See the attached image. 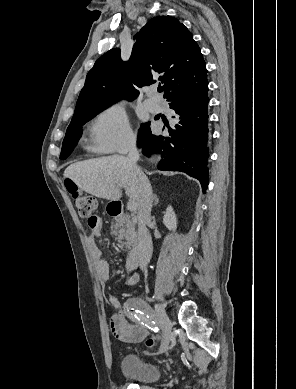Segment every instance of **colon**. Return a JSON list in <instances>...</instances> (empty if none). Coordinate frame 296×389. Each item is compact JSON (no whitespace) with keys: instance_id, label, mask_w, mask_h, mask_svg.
<instances>
[{"instance_id":"5ec220e1","label":"colon","mask_w":296,"mask_h":389,"mask_svg":"<svg viewBox=\"0 0 296 389\" xmlns=\"http://www.w3.org/2000/svg\"><path fill=\"white\" fill-rule=\"evenodd\" d=\"M67 189L71 194L74 204L78 210V213L81 217L86 218L88 220L89 225H94L96 223L97 216L94 214V211L97 207L96 200L82 191L78 190L75 184L71 181L66 183ZM155 341L153 339H149L147 341V345L149 347L154 346Z\"/></svg>"}]
</instances>
